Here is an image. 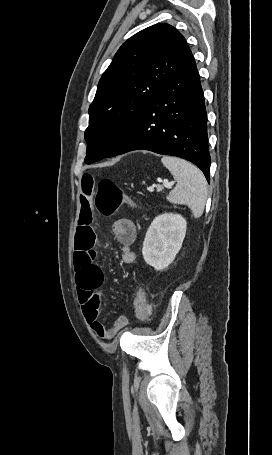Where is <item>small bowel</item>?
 <instances>
[{"instance_id":"c3829d8e","label":"small bowel","mask_w":272,"mask_h":455,"mask_svg":"<svg viewBox=\"0 0 272 455\" xmlns=\"http://www.w3.org/2000/svg\"><path fill=\"white\" fill-rule=\"evenodd\" d=\"M95 187V176L91 173L82 174L80 179L81 211L75 240L76 280L79 300L87 322L98 336L111 339L125 326L127 319L124 316L120 317L108 326L99 320L104 275L95 262L96 234L92 226L93 213L90 204ZM113 233L120 245L123 263H133L136 258L132 250L136 238L135 225L129 219H119L113 224Z\"/></svg>"}]
</instances>
